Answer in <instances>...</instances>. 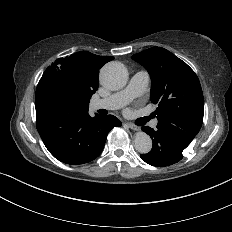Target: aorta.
<instances>
[{
    "label": "aorta",
    "mask_w": 232,
    "mask_h": 232,
    "mask_svg": "<svg viewBox=\"0 0 232 232\" xmlns=\"http://www.w3.org/2000/svg\"><path fill=\"white\" fill-rule=\"evenodd\" d=\"M100 81L103 86L110 90L122 89L128 81L126 67L116 61L105 64L100 70ZM135 149L142 154L148 153L152 148V140L145 132H137L134 138Z\"/></svg>",
    "instance_id": "1"
}]
</instances>
